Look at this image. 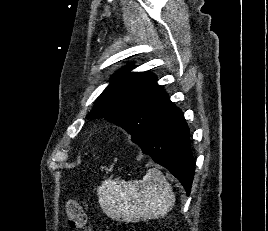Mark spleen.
Wrapping results in <instances>:
<instances>
[{"mask_svg":"<svg viewBox=\"0 0 268 231\" xmlns=\"http://www.w3.org/2000/svg\"><path fill=\"white\" fill-rule=\"evenodd\" d=\"M97 195L107 216L125 222L164 217L175 203L171 185L157 168H150L142 180H105Z\"/></svg>","mask_w":268,"mask_h":231,"instance_id":"obj_1","label":"spleen"}]
</instances>
